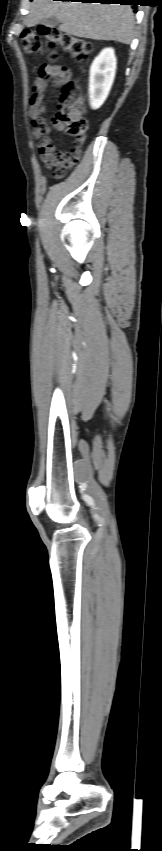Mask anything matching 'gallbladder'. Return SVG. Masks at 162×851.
Listing matches in <instances>:
<instances>
[{
  "instance_id": "obj_1",
  "label": "gallbladder",
  "mask_w": 162,
  "mask_h": 851,
  "mask_svg": "<svg viewBox=\"0 0 162 851\" xmlns=\"http://www.w3.org/2000/svg\"><path fill=\"white\" fill-rule=\"evenodd\" d=\"M59 23L60 22H59L58 18L55 17V16H51L49 18H45V19L42 20V24L45 25V26H49V27L57 26Z\"/></svg>"
}]
</instances>
